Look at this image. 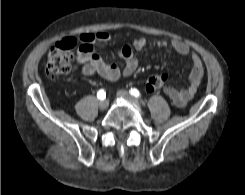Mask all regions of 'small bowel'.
Returning <instances> with one entry per match:
<instances>
[{
  "label": "small bowel",
  "mask_w": 245,
  "mask_h": 195,
  "mask_svg": "<svg viewBox=\"0 0 245 195\" xmlns=\"http://www.w3.org/2000/svg\"><path fill=\"white\" fill-rule=\"evenodd\" d=\"M82 43L77 54V62L82 65V71L87 76L99 75L110 81H115L121 76L132 75L138 67L135 51H140L147 46L169 47L179 55L190 56L192 68L188 76L189 84L186 88L177 89L167 86L165 94L177 107H184L195 95L204 75V65L199 55L188 44L180 40L149 41L145 38L135 39L131 46H123L119 56L125 65L121 69L113 63L104 60L94 49L95 44H104L110 41L111 36L103 31L97 33H83L78 37Z\"/></svg>",
  "instance_id": "c3829d8e"
}]
</instances>
